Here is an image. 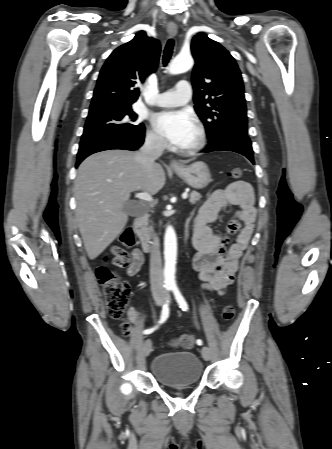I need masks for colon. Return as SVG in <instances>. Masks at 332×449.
Wrapping results in <instances>:
<instances>
[{
    "instance_id": "obj_1",
    "label": "colon",
    "mask_w": 332,
    "mask_h": 449,
    "mask_svg": "<svg viewBox=\"0 0 332 449\" xmlns=\"http://www.w3.org/2000/svg\"><path fill=\"white\" fill-rule=\"evenodd\" d=\"M243 171L240 167H234L229 171V176L233 179H240ZM121 243L125 246H131L135 242V235L131 228H126L121 234ZM112 263L116 266H124L128 263L124 250L120 247L112 249ZM107 260L101 264L97 270L96 275L99 283L103 288V295L105 298L108 313L111 318L116 320H124L126 316V309L129 302L130 288L126 281H122L111 269L106 265ZM235 315V308L232 305H227L223 309L222 316L225 320L233 319ZM129 324L124 323L122 326L123 334H129ZM175 346L190 349L194 345V338L191 335L185 334L180 336L174 343Z\"/></svg>"
}]
</instances>
